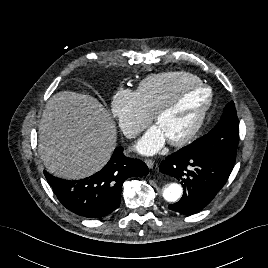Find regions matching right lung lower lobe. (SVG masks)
<instances>
[{
  "label": "right lung lower lobe",
  "mask_w": 268,
  "mask_h": 268,
  "mask_svg": "<svg viewBox=\"0 0 268 268\" xmlns=\"http://www.w3.org/2000/svg\"><path fill=\"white\" fill-rule=\"evenodd\" d=\"M148 172L144 162L124 156L123 148L117 147L105 167L85 179L67 181L46 171L44 174L64 207L79 216L101 218L119 207L121 187L127 178Z\"/></svg>",
  "instance_id": "obj_1"
}]
</instances>
